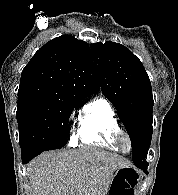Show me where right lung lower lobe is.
<instances>
[{
  "label": "right lung lower lobe",
  "mask_w": 178,
  "mask_h": 195,
  "mask_svg": "<svg viewBox=\"0 0 178 195\" xmlns=\"http://www.w3.org/2000/svg\"><path fill=\"white\" fill-rule=\"evenodd\" d=\"M62 147H56V148H48V149H30V150H22L21 151V156H22V163L26 164L28 163L31 159L39 155L45 150H52V149H61Z\"/></svg>",
  "instance_id": "obj_1"
}]
</instances>
